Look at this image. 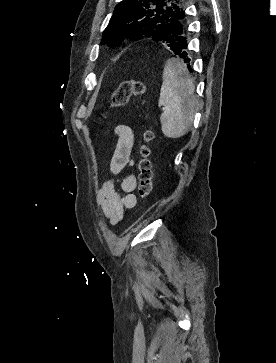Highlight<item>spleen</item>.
<instances>
[{
    "instance_id": "3e777b00",
    "label": "spleen",
    "mask_w": 276,
    "mask_h": 363,
    "mask_svg": "<svg viewBox=\"0 0 276 363\" xmlns=\"http://www.w3.org/2000/svg\"><path fill=\"white\" fill-rule=\"evenodd\" d=\"M162 79L158 101V106H163L161 130L164 136L177 139L192 127L197 104L195 86L185 64L176 58L166 61Z\"/></svg>"
}]
</instances>
